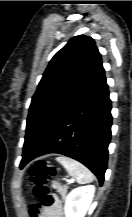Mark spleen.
<instances>
[{"label": "spleen", "mask_w": 132, "mask_h": 217, "mask_svg": "<svg viewBox=\"0 0 132 217\" xmlns=\"http://www.w3.org/2000/svg\"><path fill=\"white\" fill-rule=\"evenodd\" d=\"M56 161L59 162L79 184L90 183L94 180L93 173L77 160L66 156H59L56 158Z\"/></svg>", "instance_id": "spleen-1"}]
</instances>
